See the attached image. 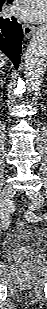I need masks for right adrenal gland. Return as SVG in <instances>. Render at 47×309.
Masks as SVG:
<instances>
[{
    "label": "right adrenal gland",
    "instance_id": "obj_1",
    "mask_svg": "<svg viewBox=\"0 0 47 309\" xmlns=\"http://www.w3.org/2000/svg\"><path fill=\"white\" fill-rule=\"evenodd\" d=\"M1 74H4V72H1V73H0V75H1ZM0 84H1V85H3V84H4V82H3L2 78H0Z\"/></svg>",
    "mask_w": 47,
    "mask_h": 309
}]
</instances>
